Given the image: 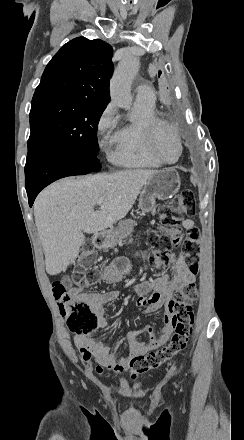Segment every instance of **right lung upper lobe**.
<instances>
[{"label": "right lung upper lobe", "mask_w": 244, "mask_h": 440, "mask_svg": "<svg viewBox=\"0 0 244 440\" xmlns=\"http://www.w3.org/2000/svg\"><path fill=\"white\" fill-rule=\"evenodd\" d=\"M112 55V47L100 39L69 41L46 66L32 101L87 100L106 106Z\"/></svg>", "instance_id": "cb5924a9"}]
</instances>
